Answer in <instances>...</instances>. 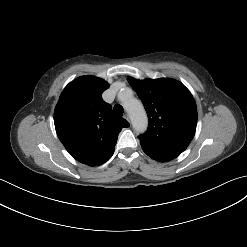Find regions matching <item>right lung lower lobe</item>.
I'll list each match as a JSON object with an SVG mask.
<instances>
[{"label":"right lung lower lobe","instance_id":"98d812e1","mask_svg":"<svg viewBox=\"0 0 247 247\" xmlns=\"http://www.w3.org/2000/svg\"><path fill=\"white\" fill-rule=\"evenodd\" d=\"M113 153H114V149H112L109 152V154L105 157V159L101 163H99L98 165H101V164L105 163L106 161H108L110 159V157L113 155Z\"/></svg>","mask_w":247,"mask_h":247}]
</instances>
